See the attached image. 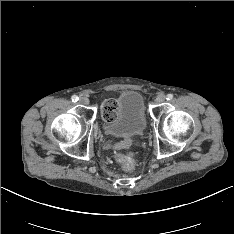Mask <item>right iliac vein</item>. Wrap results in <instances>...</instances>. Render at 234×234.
Listing matches in <instances>:
<instances>
[{
	"label": "right iliac vein",
	"mask_w": 234,
	"mask_h": 234,
	"mask_svg": "<svg viewBox=\"0 0 234 234\" xmlns=\"http://www.w3.org/2000/svg\"><path fill=\"white\" fill-rule=\"evenodd\" d=\"M79 102L83 105H88L89 104V99L87 97H81Z\"/></svg>",
	"instance_id": "1"
}]
</instances>
